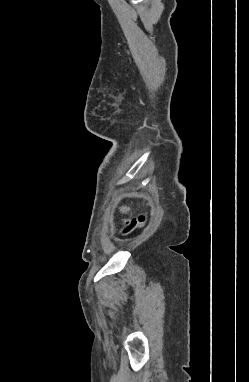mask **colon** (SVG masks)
<instances>
[{
	"mask_svg": "<svg viewBox=\"0 0 249 382\" xmlns=\"http://www.w3.org/2000/svg\"><path fill=\"white\" fill-rule=\"evenodd\" d=\"M129 210V207L127 205H122L120 207L121 214H126ZM146 221V215L140 214L137 218L134 219H122V224L124 225V229L122 231L123 235H128L131 232H133L138 227L142 226Z\"/></svg>",
	"mask_w": 249,
	"mask_h": 382,
	"instance_id": "1",
	"label": "colon"
}]
</instances>
